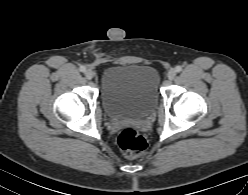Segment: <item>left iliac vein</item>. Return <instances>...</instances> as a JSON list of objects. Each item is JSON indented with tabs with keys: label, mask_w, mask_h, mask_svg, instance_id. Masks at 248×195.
I'll list each match as a JSON object with an SVG mask.
<instances>
[{
	"label": "left iliac vein",
	"mask_w": 248,
	"mask_h": 195,
	"mask_svg": "<svg viewBox=\"0 0 248 195\" xmlns=\"http://www.w3.org/2000/svg\"><path fill=\"white\" fill-rule=\"evenodd\" d=\"M176 76V70L175 69H170L167 73V77L170 80H173Z\"/></svg>",
	"instance_id": "obj_1"
}]
</instances>
